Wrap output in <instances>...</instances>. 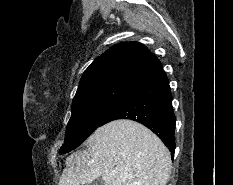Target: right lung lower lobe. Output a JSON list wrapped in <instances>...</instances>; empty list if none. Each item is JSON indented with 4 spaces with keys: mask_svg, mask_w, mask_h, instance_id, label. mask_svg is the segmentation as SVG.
Here are the masks:
<instances>
[{
    "mask_svg": "<svg viewBox=\"0 0 233 185\" xmlns=\"http://www.w3.org/2000/svg\"><path fill=\"white\" fill-rule=\"evenodd\" d=\"M116 119H131L144 124L174 155L176 119L169 82L164 71L130 90L101 121L100 126Z\"/></svg>",
    "mask_w": 233,
    "mask_h": 185,
    "instance_id": "obj_1",
    "label": "right lung lower lobe"
}]
</instances>
